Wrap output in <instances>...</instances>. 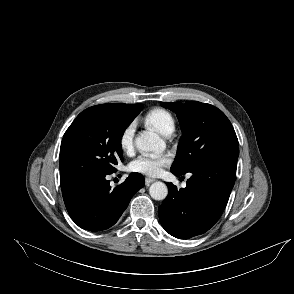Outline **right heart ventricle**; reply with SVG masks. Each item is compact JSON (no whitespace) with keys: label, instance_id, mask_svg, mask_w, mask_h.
<instances>
[{"label":"right heart ventricle","instance_id":"1","mask_svg":"<svg viewBox=\"0 0 294 294\" xmlns=\"http://www.w3.org/2000/svg\"><path fill=\"white\" fill-rule=\"evenodd\" d=\"M144 123L162 135H169L175 129L174 116L163 108L150 110L144 117Z\"/></svg>","mask_w":294,"mask_h":294}]
</instances>
